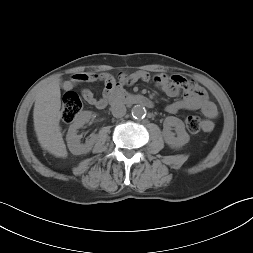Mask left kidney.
I'll return each instance as SVG.
<instances>
[{
    "label": "left kidney",
    "instance_id": "1",
    "mask_svg": "<svg viewBox=\"0 0 253 253\" xmlns=\"http://www.w3.org/2000/svg\"><path fill=\"white\" fill-rule=\"evenodd\" d=\"M172 127H174L176 131V137L174 133L171 132ZM163 137L165 142L172 148H180L190 140L183 121L174 116L165 118L163 123Z\"/></svg>",
    "mask_w": 253,
    "mask_h": 253
}]
</instances>
